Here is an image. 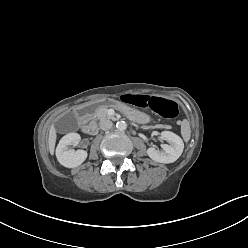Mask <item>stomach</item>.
<instances>
[{
  "label": "stomach",
  "mask_w": 248,
  "mask_h": 248,
  "mask_svg": "<svg viewBox=\"0 0 248 248\" xmlns=\"http://www.w3.org/2000/svg\"><path fill=\"white\" fill-rule=\"evenodd\" d=\"M85 114H93L98 110H115L118 114L124 117H128L132 122L135 123H148L151 120V117L148 114L141 113L135 110L133 107L125 106L122 101H115L112 99L101 100V101H92L88 105L84 106Z\"/></svg>",
  "instance_id": "stomach-1"
}]
</instances>
